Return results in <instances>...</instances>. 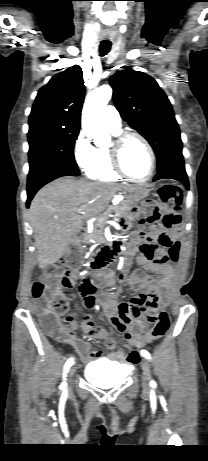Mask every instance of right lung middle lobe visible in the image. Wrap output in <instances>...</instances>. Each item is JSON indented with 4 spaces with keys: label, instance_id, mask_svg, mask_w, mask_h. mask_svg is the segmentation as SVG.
I'll return each instance as SVG.
<instances>
[{
    "label": "right lung middle lobe",
    "instance_id": "right-lung-middle-lobe-1",
    "mask_svg": "<svg viewBox=\"0 0 208 461\" xmlns=\"http://www.w3.org/2000/svg\"><path fill=\"white\" fill-rule=\"evenodd\" d=\"M79 129V125L62 120L29 119V172L49 162H60L78 169L73 149Z\"/></svg>",
    "mask_w": 208,
    "mask_h": 461
}]
</instances>
